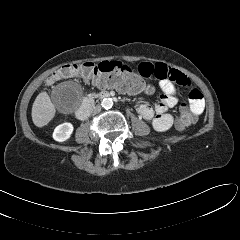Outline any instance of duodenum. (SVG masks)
Listing matches in <instances>:
<instances>
[{"instance_id": "duodenum-1", "label": "duodenum", "mask_w": 240, "mask_h": 240, "mask_svg": "<svg viewBox=\"0 0 240 240\" xmlns=\"http://www.w3.org/2000/svg\"><path fill=\"white\" fill-rule=\"evenodd\" d=\"M110 94L106 91L104 92H100L96 95L97 99H106L109 98ZM93 105V98L89 97L87 98L83 104L81 105V107L76 111V116L78 119L80 120H84L87 118V116L90 113V110L92 108Z\"/></svg>"}]
</instances>
